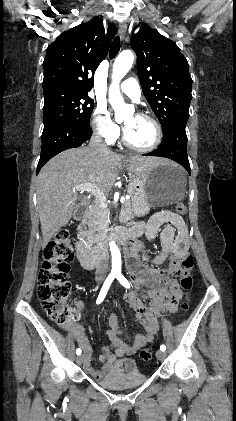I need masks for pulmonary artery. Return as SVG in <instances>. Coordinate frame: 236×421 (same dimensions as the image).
Segmentation results:
<instances>
[{
  "label": "pulmonary artery",
  "instance_id": "e3ab8cb5",
  "mask_svg": "<svg viewBox=\"0 0 236 421\" xmlns=\"http://www.w3.org/2000/svg\"><path fill=\"white\" fill-rule=\"evenodd\" d=\"M121 90L134 100H139L141 91L138 83L134 79H128L120 84Z\"/></svg>",
  "mask_w": 236,
  "mask_h": 421
}]
</instances>
